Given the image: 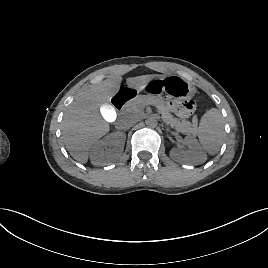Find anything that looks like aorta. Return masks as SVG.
Masks as SVG:
<instances>
[{
    "label": "aorta",
    "mask_w": 268,
    "mask_h": 268,
    "mask_svg": "<svg viewBox=\"0 0 268 268\" xmlns=\"http://www.w3.org/2000/svg\"><path fill=\"white\" fill-rule=\"evenodd\" d=\"M145 123L150 128H155L158 125L157 118L154 115L149 116Z\"/></svg>",
    "instance_id": "obj_1"
}]
</instances>
